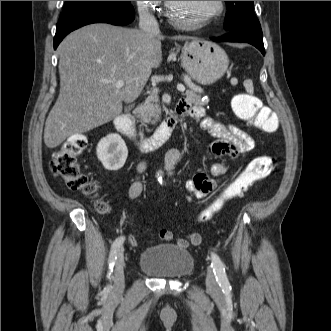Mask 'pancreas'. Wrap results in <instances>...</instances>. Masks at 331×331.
Masks as SVG:
<instances>
[{
	"label": "pancreas",
	"instance_id": "obj_1",
	"mask_svg": "<svg viewBox=\"0 0 331 331\" xmlns=\"http://www.w3.org/2000/svg\"><path fill=\"white\" fill-rule=\"evenodd\" d=\"M194 87L196 86L193 85V87L186 91L187 99L198 105L207 104L209 100H201V91L199 89H195ZM134 113L137 118H140L141 121L145 123H155L161 115L158 95L156 93L150 94L146 98L145 102L141 104Z\"/></svg>",
	"mask_w": 331,
	"mask_h": 331
}]
</instances>
